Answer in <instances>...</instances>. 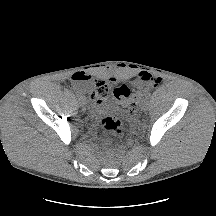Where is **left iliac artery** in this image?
Listing matches in <instances>:
<instances>
[{
	"label": "left iliac artery",
	"instance_id": "44dca946",
	"mask_svg": "<svg viewBox=\"0 0 216 216\" xmlns=\"http://www.w3.org/2000/svg\"><path fill=\"white\" fill-rule=\"evenodd\" d=\"M149 102H150V99H149V98H146V99L143 100V103H144V104H147V103H149Z\"/></svg>",
	"mask_w": 216,
	"mask_h": 216
}]
</instances>
